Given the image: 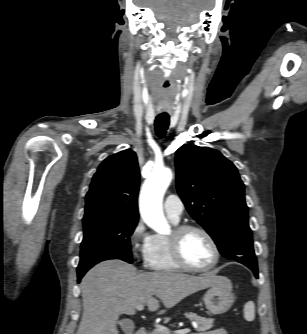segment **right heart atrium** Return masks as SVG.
<instances>
[{"label":"right heart atrium","mask_w":307,"mask_h":334,"mask_svg":"<svg viewBox=\"0 0 307 334\" xmlns=\"http://www.w3.org/2000/svg\"><path fill=\"white\" fill-rule=\"evenodd\" d=\"M153 238L154 235L148 231L144 221L138 219L132 227L129 235L131 251L136 259L146 260Z\"/></svg>","instance_id":"obj_1"}]
</instances>
